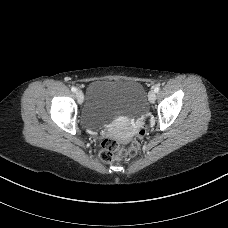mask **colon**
<instances>
[{"mask_svg": "<svg viewBox=\"0 0 228 228\" xmlns=\"http://www.w3.org/2000/svg\"><path fill=\"white\" fill-rule=\"evenodd\" d=\"M146 130L141 129L129 147H123L115 139H105L102 142L100 158L103 162L110 163L115 160H128L136 156Z\"/></svg>", "mask_w": 228, "mask_h": 228, "instance_id": "colon-1", "label": "colon"}]
</instances>
